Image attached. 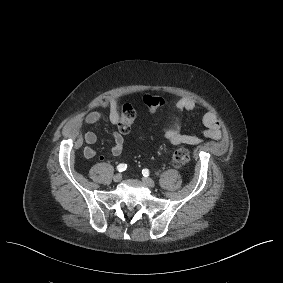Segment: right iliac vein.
<instances>
[{
    "mask_svg": "<svg viewBox=\"0 0 283 283\" xmlns=\"http://www.w3.org/2000/svg\"><path fill=\"white\" fill-rule=\"evenodd\" d=\"M121 179H122V174H120V173L114 175V177H113V180H114L115 182H120Z\"/></svg>",
    "mask_w": 283,
    "mask_h": 283,
    "instance_id": "obj_1",
    "label": "right iliac vein"
}]
</instances>
